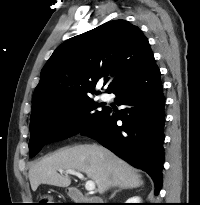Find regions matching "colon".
<instances>
[{"mask_svg": "<svg viewBox=\"0 0 200 205\" xmlns=\"http://www.w3.org/2000/svg\"><path fill=\"white\" fill-rule=\"evenodd\" d=\"M41 204L42 205H51V198L50 197H48V196H44L43 198H42V200H41Z\"/></svg>", "mask_w": 200, "mask_h": 205, "instance_id": "5ec220e1", "label": "colon"}]
</instances>
